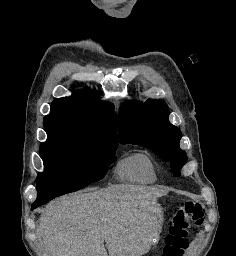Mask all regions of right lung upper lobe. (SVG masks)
<instances>
[{"mask_svg":"<svg viewBox=\"0 0 236 256\" xmlns=\"http://www.w3.org/2000/svg\"><path fill=\"white\" fill-rule=\"evenodd\" d=\"M113 109V104L100 101L91 90L74 91L71 97L52 102L50 114L44 117L45 130H67L117 141Z\"/></svg>","mask_w":236,"mask_h":256,"instance_id":"cb5924a9","label":"right lung upper lobe"}]
</instances>
